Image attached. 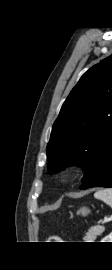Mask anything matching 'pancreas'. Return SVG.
<instances>
[{"mask_svg": "<svg viewBox=\"0 0 112 270\" xmlns=\"http://www.w3.org/2000/svg\"><path fill=\"white\" fill-rule=\"evenodd\" d=\"M105 228L103 226H94L91 227L86 235L83 237L85 242H94L97 236L101 235L104 232Z\"/></svg>", "mask_w": 112, "mask_h": 270, "instance_id": "obj_1", "label": "pancreas"}]
</instances>
